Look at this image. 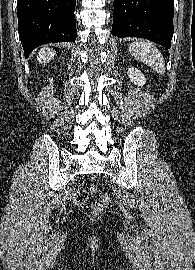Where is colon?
Segmentation results:
<instances>
[{
    "label": "colon",
    "mask_w": 195,
    "mask_h": 270,
    "mask_svg": "<svg viewBox=\"0 0 195 270\" xmlns=\"http://www.w3.org/2000/svg\"><path fill=\"white\" fill-rule=\"evenodd\" d=\"M98 188L96 186H92L89 189H80L77 190L74 195H73V201L77 205H82L84 204L89 195L92 194H97L98 193ZM101 203H95L91 206V213L92 214H99L102 211V204H108L110 202V197L107 194H102L100 197Z\"/></svg>",
    "instance_id": "5ec220e1"
}]
</instances>
